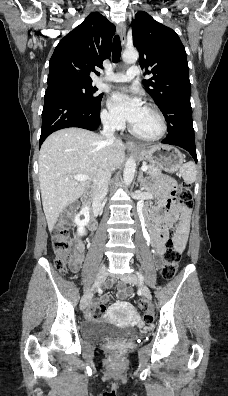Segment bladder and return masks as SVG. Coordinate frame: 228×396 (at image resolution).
<instances>
[{"label":"bladder","instance_id":"obj_1","mask_svg":"<svg viewBox=\"0 0 228 396\" xmlns=\"http://www.w3.org/2000/svg\"><path fill=\"white\" fill-rule=\"evenodd\" d=\"M81 336L90 342L125 339L136 336L138 329L131 327H118L109 322L90 320L81 327Z\"/></svg>","mask_w":228,"mask_h":396}]
</instances>
